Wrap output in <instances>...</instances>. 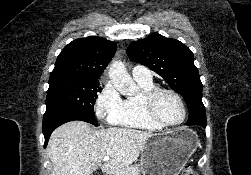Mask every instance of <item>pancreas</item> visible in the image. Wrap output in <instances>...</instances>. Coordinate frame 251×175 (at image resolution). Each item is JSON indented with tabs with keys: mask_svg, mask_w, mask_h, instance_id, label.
<instances>
[{
	"mask_svg": "<svg viewBox=\"0 0 251 175\" xmlns=\"http://www.w3.org/2000/svg\"><path fill=\"white\" fill-rule=\"evenodd\" d=\"M139 165H129V167H122V169H117L116 175H140Z\"/></svg>",
	"mask_w": 251,
	"mask_h": 175,
	"instance_id": "obj_1",
	"label": "pancreas"
}]
</instances>
